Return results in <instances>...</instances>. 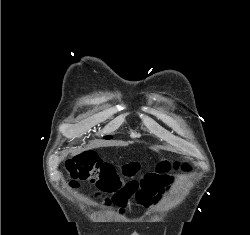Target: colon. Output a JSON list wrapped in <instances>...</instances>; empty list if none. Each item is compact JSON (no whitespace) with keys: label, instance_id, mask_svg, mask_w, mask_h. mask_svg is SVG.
Instances as JSON below:
<instances>
[{"label":"colon","instance_id":"colon-1","mask_svg":"<svg viewBox=\"0 0 250 235\" xmlns=\"http://www.w3.org/2000/svg\"><path fill=\"white\" fill-rule=\"evenodd\" d=\"M173 166L170 162L158 163L154 171L138 178L141 171L138 163L129 162L116 168L101 160L95 153H82L68 160L66 169L72 187H77L78 181L94 183L101 192L114 194L112 198L107 199L108 203L122 207L139 189L167 186L171 182L167 173Z\"/></svg>","mask_w":250,"mask_h":235}]
</instances>
